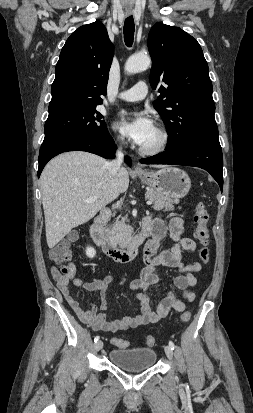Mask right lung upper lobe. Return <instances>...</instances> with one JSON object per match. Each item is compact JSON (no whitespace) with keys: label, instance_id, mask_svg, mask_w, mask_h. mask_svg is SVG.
<instances>
[{"label":"right lung upper lobe","instance_id":"right-lung-upper-lobe-1","mask_svg":"<svg viewBox=\"0 0 253 413\" xmlns=\"http://www.w3.org/2000/svg\"><path fill=\"white\" fill-rule=\"evenodd\" d=\"M113 53V44L102 22L81 26L73 32L56 64L49 115L101 104Z\"/></svg>","mask_w":253,"mask_h":413}]
</instances>
